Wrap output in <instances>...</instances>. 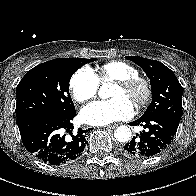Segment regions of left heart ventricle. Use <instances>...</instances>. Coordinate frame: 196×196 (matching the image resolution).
Wrapping results in <instances>:
<instances>
[{"label":"left heart ventricle","instance_id":"1","mask_svg":"<svg viewBox=\"0 0 196 196\" xmlns=\"http://www.w3.org/2000/svg\"><path fill=\"white\" fill-rule=\"evenodd\" d=\"M141 94H142V89L139 87L131 90H126L118 85H114L111 90L110 97L112 98L124 97L127 100H129L131 103H135V101L140 98Z\"/></svg>","mask_w":196,"mask_h":196}]
</instances>
